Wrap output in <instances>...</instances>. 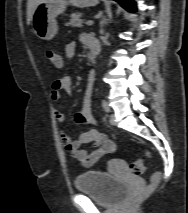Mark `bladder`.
Instances as JSON below:
<instances>
[{"mask_svg":"<svg viewBox=\"0 0 188 213\" xmlns=\"http://www.w3.org/2000/svg\"><path fill=\"white\" fill-rule=\"evenodd\" d=\"M75 188L102 206H115L127 193L125 182L101 170L80 173L75 178Z\"/></svg>","mask_w":188,"mask_h":213,"instance_id":"31cf9c89","label":"bladder"}]
</instances>
